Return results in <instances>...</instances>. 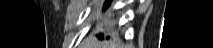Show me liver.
Masks as SVG:
<instances>
[{
    "label": "liver",
    "instance_id": "obj_1",
    "mask_svg": "<svg viewBox=\"0 0 213 48\" xmlns=\"http://www.w3.org/2000/svg\"><path fill=\"white\" fill-rule=\"evenodd\" d=\"M83 48H118L114 42H101L96 37L89 36L83 41Z\"/></svg>",
    "mask_w": 213,
    "mask_h": 48
}]
</instances>
